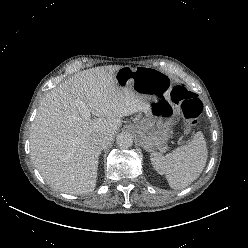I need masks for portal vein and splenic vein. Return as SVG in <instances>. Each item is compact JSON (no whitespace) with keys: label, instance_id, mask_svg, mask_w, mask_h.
I'll return each instance as SVG.
<instances>
[{"label":"portal vein and splenic vein","instance_id":"1","mask_svg":"<svg viewBox=\"0 0 248 248\" xmlns=\"http://www.w3.org/2000/svg\"><path fill=\"white\" fill-rule=\"evenodd\" d=\"M83 115H84V117H89L90 116V112L85 106L83 107Z\"/></svg>","mask_w":248,"mask_h":248}]
</instances>
